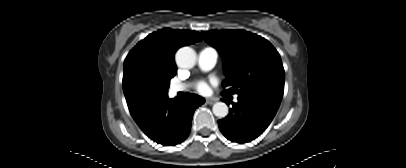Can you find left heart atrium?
<instances>
[{
	"instance_id": "1",
	"label": "left heart atrium",
	"mask_w": 406,
	"mask_h": 168,
	"mask_svg": "<svg viewBox=\"0 0 406 168\" xmlns=\"http://www.w3.org/2000/svg\"><path fill=\"white\" fill-rule=\"evenodd\" d=\"M195 88H196L197 92L200 94H206L209 91V86L206 81L197 82Z\"/></svg>"
}]
</instances>
